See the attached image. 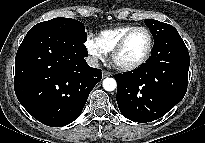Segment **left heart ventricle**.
I'll return each mask as SVG.
<instances>
[{
  "label": "left heart ventricle",
  "mask_w": 205,
  "mask_h": 143,
  "mask_svg": "<svg viewBox=\"0 0 205 143\" xmlns=\"http://www.w3.org/2000/svg\"><path fill=\"white\" fill-rule=\"evenodd\" d=\"M149 43L148 35L143 30L135 31L128 39L124 49L117 56L120 65H130L138 62L145 54Z\"/></svg>",
  "instance_id": "1"
}]
</instances>
